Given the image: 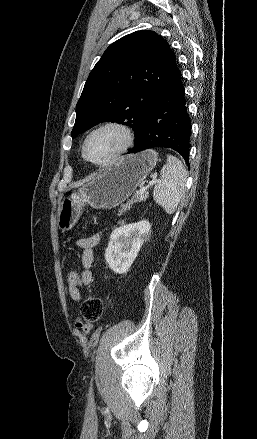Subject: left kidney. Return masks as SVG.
Returning a JSON list of instances; mask_svg holds the SVG:
<instances>
[{
    "mask_svg": "<svg viewBox=\"0 0 257 439\" xmlns=\"http://www.w3.org/2000/svg\"><path fill=\"white\" fill-rule=\"evenodd\" d=\"M150 223L142 220L114 229L105 250V260L115 273L124 274L131 267L138 252L149 237Z\"/></svg>",
    "mask_w": 257,
    "mask_h": 439,
    "instance_id": "5707ae66",
    "label": "left kidney"
}]
</instances>
